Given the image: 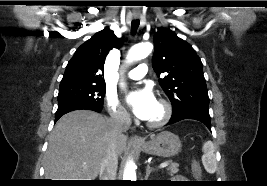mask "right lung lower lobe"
Listing matches in <instances>:
<instances>
[{"mask_svg": "<svg viewBox=\"0 0 267 186\" xmlns=\"http://www.w3.org/2000/svg\"><path fill=\"white\" fill-rule=\"evenodd\" d=\"M80 109L93 110L96 112H100L102 109V106L95 105V104H88V103H73V104L60 105L58 106V109L55 114V122L64 114L70 111L80 110Z\"/></svg>", "mask_w": 267, "mask_h": 186, "instance_id": "right-lung-lower-lobe-1", "label": "right lung lower lobe"}]
</instances>
